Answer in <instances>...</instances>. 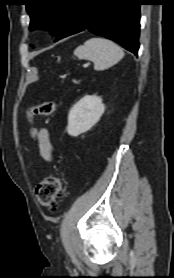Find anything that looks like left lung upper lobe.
<instances>
[{
	"label": "left lung upper lobe",
	"mask_w": 174,
	"mask_h": 278,
	"mask_svg": "<svg viewBox=\"0 0 174 278\" xmlns=\"http://www.w3.org/2000/svg\"><path fill=\"white\" fill-rule=\"evenodd\" d=\"M79 0H29L27 12L31 18L30 28L52 29L59 35L78 7Z\"/></svg>",
	"instance_id": "obj_1"
}]
</instances>
